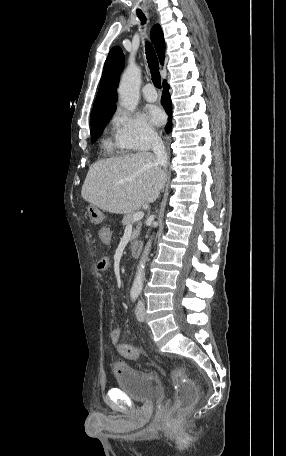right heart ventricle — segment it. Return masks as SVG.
<instances>
[{
  "instance_id": "obj_1",
  "label": "right heart ventricle",
  "mask_w": 286,
  "mask_h": 456,
  "mask_svg": "<svg viewBox=\"0 0 286 456\" xmlns=\"http://www.w3.org/2000/svg\"><path fill=\"white\" fill-rule=\"evenodd\" d=\"M102 145L108 155H120L130 151V148L121 141L116 130L105 136Z\"/></svg>"
}]
</instances>
